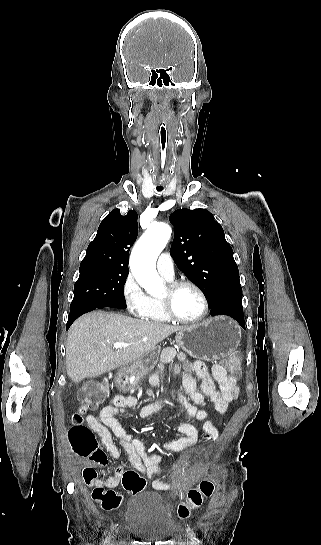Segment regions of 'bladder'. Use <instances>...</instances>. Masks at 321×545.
I'll return each mask as SVG.
<instances>
[{
	"instance_id": "1",
	"label": "bladder",
	"mask_w": 321,
	"mask_h": 545,
	"mask_svg": "<svg viewBox=\"0 0 321 545\" xmlns=\"http://www.w3.org/2000/svg\"><path fill=\"white\" fill-rule=\"evenodd\" d=\"M123 522L125 528L145 542H161L169 539L175 524L164 497L156 492H142L126 506Z\"/></svg>"
}]
</instances>
